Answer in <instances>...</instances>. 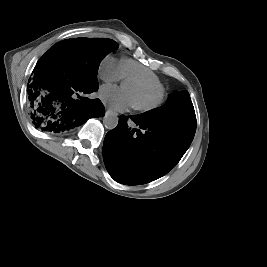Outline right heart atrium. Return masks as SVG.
Returning <instances> with one entry per match:
<instances>
[{
  "label": "right heart atrium",
  "mask_w": 267,
  "mask_h": 267,
  "mask_svg": "<svg viewBox=\"0 0 267 267\" xmlns=\"http://www.w3.org/2000/svg\"><path fill=\"white\" fill-rule=\"evenodd\" d=\"M99 76L105 82H116L122 78L121 66L113 57H105L99 67Z\"/></svg>",
  "instance_id": "1"
}]
</instances>
